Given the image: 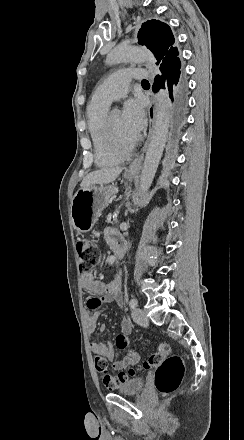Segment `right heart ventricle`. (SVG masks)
Listing matches in <instances>:
<instances>
[{"label": "right heart ventricle", "instance_id": "e07e8e85", "mask_svg": "<svg viewBox=\"0 0 244 440\" xmlns=\"http://www.w3.org/2000/svg\"><path fill=\"white\" fill-rule=\"evenodd\" d=\"M110 104L104 102H89L87 106L88 129L95 147V162L100 168H112L120 164L124 159V153L120 147H106V141L102 134L106 132L101 127L104 125V117ZM113 137V136H112ZM118 144L116 141H114ZM113 142V143H114Z\"/></svg>", "mask_w": 244, "mask_h": 440}]
</instances>
